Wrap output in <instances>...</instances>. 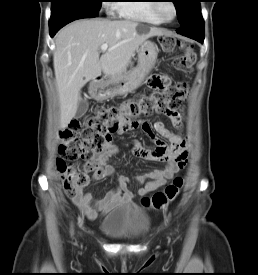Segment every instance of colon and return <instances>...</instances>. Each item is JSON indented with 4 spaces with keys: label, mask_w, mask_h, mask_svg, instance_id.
I'll list each match as a JSON object with an SVG mask.
<instances>
[{
    "label": "colon",
    "mask_w": 258,
    "mask_h": 275,
    "mask_svg": "<svg viewBox=\"0 0 258 275\" xmlns=\"http://www.w3.org/2000/svg\"><path fill=\"white\" fill-rule=\"evenodd\" d=\"M159 42L164 52H183L173 60L176 70L183 73L192 71L195 54L188 41L164 34L160 36ZM149 85L152 88L150 93L119 107H100L92 116L73 120L61 131L57 166L64 192L68 197H78L89 183L88 166L83 164L81 168H76L72 162L101 151L112 136L121 130L136 129L141 116L154 113L168 115L176 111L188 94V86L185 83L168 88L159 78H153L149 80ZM183 185L184 178L176 176L163 190L151 197H144L141 203L145 207L162 209L178 196Z\"/></svg>",
    "instance_id": "5ec220e1"
}]
</instances>
